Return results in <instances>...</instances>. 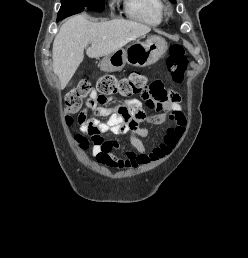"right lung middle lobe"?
<instances>
[{"instance_id": "1", "label": "right lung middle lobe", "mask_w": 248, "mask_h": 258, "mask_svg": "<svg viewBox=\"0 0 248 258\" xmlns=\"http://www.w3.org/2000/svg\"><path fill=\"white\" fill-rule=\"evenodd\" d=\"M105 0H61V8L58 12L57 21L68 16L82 12L83 10L102 12Z\"/></svg>"}]
</instances>
